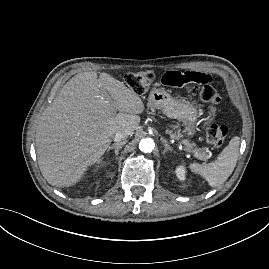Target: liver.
Wrapping results in <instances>:
<instances>
[{"mask_svg":"<svg viewBox=\"0 0 269 269\" xmlns=\"http://www.w3.org/2000/svg\"><path fill=\"white\" fill-rule=\"evenodd\" d=\"M144 109L139 95L111 75L76 74L37 125L36 153L43 177L56 187L77 183L101 160L117 131L133 134Z\"/></svg>","mask_w":269,"mask_h":269,"instance_id":"obj_1","label":"liver"}]
</instances>
